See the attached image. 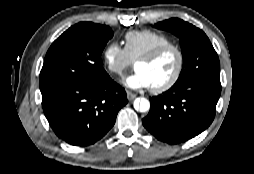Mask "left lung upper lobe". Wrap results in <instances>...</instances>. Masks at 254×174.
<instances>
[{
	"label": "left lung upper lobe",
	"instance_id": "left-lung-upper-lobe-1",
	"mask_svg": "<svg viewBox=\"0 0 254 174\" xmlns=\"http://www.w3.org/2000/svg\"><path fill=\"white\" fill-rule=\"evenodd\" d=\"M180 39L183 67L174 86H182L198 80H220L218 55L206 34L181 19L172 18L155 24Z\"/></svg>",
	"mask_w": 254,
	"mask_h": 174
}]
</instances>
